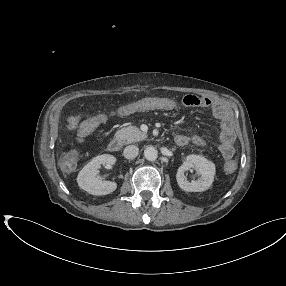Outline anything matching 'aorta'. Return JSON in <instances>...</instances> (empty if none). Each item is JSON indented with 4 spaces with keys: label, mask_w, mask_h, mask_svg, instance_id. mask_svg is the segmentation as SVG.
<instances>
[{
    "label": "aorta",
    "mask_w": 286,
    "mask_h": 286,
    "mask_svg": "<svg viewBox=\"0 0 286 286\" xmlns=\"http://www.w3.org/2000/svg\"><path fill=\"white\" fill-rule=\"evenodd\" d=\"M144 157L149 161H154L158 157V152L153 146H149L144 150Z\"/></svg>",
    "instance_id": "aorta-1"
}]
</instances>
